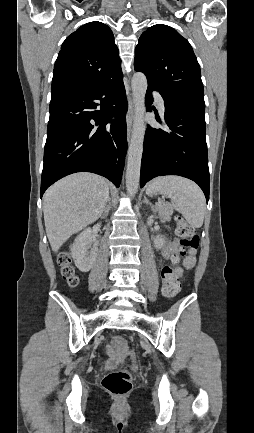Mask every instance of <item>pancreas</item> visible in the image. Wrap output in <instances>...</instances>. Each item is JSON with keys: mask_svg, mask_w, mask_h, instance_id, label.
Returning <instances> with one entry per match:
<instances>
[{"mask_svg": "<svg viewBox=\"0 0 254 433\" xmlns=\"http://www.w3.org/2000/svg\"><path fill=\"white\" fill-rule=\"evenodd\" d=\"M155 212H158L163 220H170L173 214V207L169 204L160 203L155 207Z\"/></svg>", "mask_w": 254, "mask_h": 433, "instance_id": "obj_1", "label": "pancreas"}]
</instances>
